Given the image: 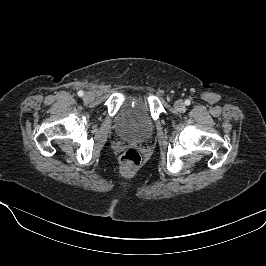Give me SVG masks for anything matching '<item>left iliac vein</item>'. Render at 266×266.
<instances>
[{
	"label": "left iliac vein",
	"instance_id": "obj_1",
	"mask_svg": "<svg viewBox=\"0 0 266 266\" xmlns=\"http://www.w3.org/2000/svg\"><path fill=\"white\" fill-rule=\"evenodd\" d=\"M174 107L177 111H182L185 108V104L182 100H178L175 102Z\"/></svg>",
	"mask_w": 266,
	"mask_h": 266
}]
</instances>
